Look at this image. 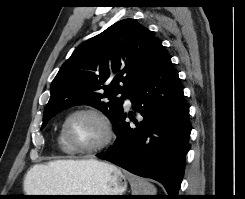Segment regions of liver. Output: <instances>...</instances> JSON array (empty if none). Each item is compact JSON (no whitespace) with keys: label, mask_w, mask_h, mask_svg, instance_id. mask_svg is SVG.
Listing matches in <instances>:
<instances>
[{"label":"liver","mask_w":245,"mask_h":199,"mask_svg":"<svg viewBox=\"0 0 245 199\" xmlns=\"http://www.w3.org/2000/svg\"><path fill=\"white\" fill-rule=\"evenodd\" d=\"M89 160H56L46 164L34 165L25 176V188L29 191L42 190L46 193H62L66 189L64 180Z\"/></svg>","instance_id":"6515ba94"}]
</instances>
